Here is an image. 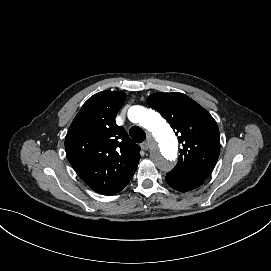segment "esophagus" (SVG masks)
<instances>
[{
	"mask_svg": "<svg viewBox=\"0 0 271 271\" xmlns=\"http://www.w3.org/2000/svg\"><path fill=\"white\" fill-rule=\"evenodd\" d=\"M147 138L150 140L149 142H144L141 144V147L144 149V150H151L153 147H154V140L152 138V136L148 133L147 135Z\"/></svg>",
	"mask_w": 271,
	"mask_h": 271,
	"instance_id": "obj_1",
	"label": "esophagus"
}]
</instances>
